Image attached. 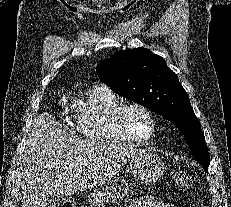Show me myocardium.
<instances>
[{
	"instance_id": "myocardium-1",
	"label": "myocardium",
	"mask_w": 231,
	"mask_h": 207,
	"mask_svg": "<svg viewBox=\"0 0 231 207\" xmlns=\"http://www.w3.org/2000/svg\"><path fill=\"white\" fill-rule=\"evenodd\" d=\"M132 109H140L148 115L149 120L151 122V126H152L149 136L139 137V136L135 135L133 133V131L131 130L130 125L128 123L127 114ZM116 120H117V124H118L119 128L121 129V131L131 141H134L137 143H147V142L151 141L156 135V132H157L156 115L153 112V110L151 108H149L148 106H146L145 104H142L139 102H128V103L122 104L116 112Z\"/></svg>"
}]
</instances>
